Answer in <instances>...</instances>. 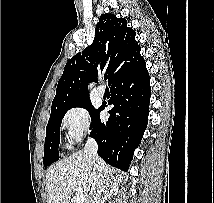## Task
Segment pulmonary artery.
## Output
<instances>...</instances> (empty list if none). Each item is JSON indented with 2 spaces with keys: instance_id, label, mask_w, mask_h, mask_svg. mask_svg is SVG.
<instances>
[{
  "instance_id": "pulmonary-artery-1",
  "label": "pulmonary artery",
  "mask_w": 214,
  "mask_h": 203,
  "mask_svg": "<svg viewBox=\"0 0 214 203\" xmlns=\"http://www.w3.org/2000/svg\"><path fill=\"white\" fill-rule=\"evenodd\" d=\"M97 93H98L99 96H104V94H105V88H104V86L100 85L97 88Z\"/></svg>"
}]
</instances>
